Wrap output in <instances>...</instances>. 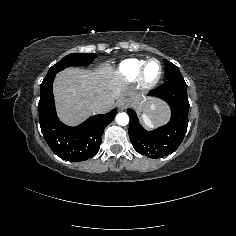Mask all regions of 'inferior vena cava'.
Masks as SVG:
<instances>
[{
    "instance_id": "inferior-vena-cava-1",
    "label": "inferior vena cava",
    "mask_w": 236,
    "mask_h": 236,
    "mask_svg": "<svg viewBox=\"0 0 236 236\" xmlns=\"http://www.w3.org/2000/svg\"><path fill=\"white\" fill-rule=\"evenodd\" d=\"M90 109L93 110L94 112H97L99 109H101L102 107V102L101 101H97L94 100L91 104H90Z\"/></svg>"
}]
</instances>
